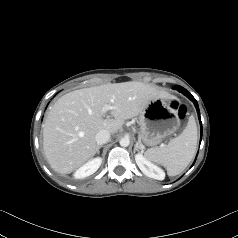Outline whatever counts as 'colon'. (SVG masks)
Returning <instances> with one entry per match:
<instances>
[{
	"mask_svg": "<svg viewBox=\"0 0 238 238\" xmlns=\"http://www.w3.org/2000/svg\"><path fill=\"white\" fill-rule=\"evenodd\" d=\"M172 106H173L175 109H177V111H178V113H179V116H180L181 118H184V116H185V114H186V108H185V106L179 105V104L176 103V102H173V103H172Z\"/></svg>",
	"mask_w": 238,
	"mask_h": 238,
	"instance_id": "1",
	"label": "colon"
}]
</instances>
